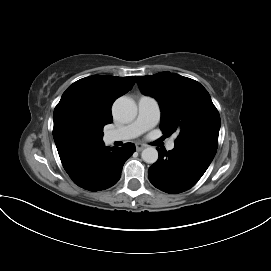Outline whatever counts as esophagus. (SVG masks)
<instances>
[{
    "label": "esophagus",
    "instance_id": "esophagus-1",
    "mask_svg": "<svg viewBox=\"0 0 271 271\" xmlns=\"http://www.w3.org/2000/svg\"><path fill=\"white\" fill-rule=\"evenodd\" d=\"M144 148H146V145H145V144H141V143H137V144H136V150H137V151H141V150H143Z\"/></svg>",
    "mask_w": 271,
    "mask_h": 271
}]
</instances>
